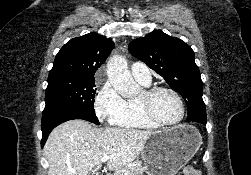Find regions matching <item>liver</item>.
I'll return each mask as SVG.
<instances>
[{
  "label": "liver",
  "instance_id": "6515ba94",
  "mask_svg": "<svg viewBox=\"0 0 251 175\" xmlns=\"http://www.w3.org/2000/svg\"><path fill=\"white\" fill-rule=\"evenodd\" d=\"M151 133L124 127L96 129L84 119L65 121L51 131L45 143L48 175H88L104 155H111L106 169L117 171L138 157Z\"/></svg>",
  "mask_w": 251,
  "mask_h": 175
}]
</instances>
